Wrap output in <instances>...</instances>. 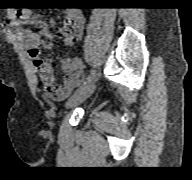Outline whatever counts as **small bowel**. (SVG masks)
Here are the masks:
<instances>
[{
	"label": "small bowel",
	"instance_id": "1",
	"mask_svg": "<svg viewBox=\"0 0 192 180\" xmlns=\"http://www.w3.org/2000/svg\"><path fill=\"white\" fill-rule=\"evenodd\" d=\"M54 20L50 24H54ZM15 25L29 24L39 26L38 30L19 29V35L24 41L28 54L32 60L35 73L39 78L45 93L52 99L61 101L65 99L84 80V63L80 58L65 59L61 63L64 78L57 83L54 77L52 64L45 58L40 50L51 49L52 34L47 25L41 23L30 9H19L14 13ZM85 17L78 9L67 12V22L60 31L63 42L67 45L80 40L84 33Z\"/></svg>",
	"mask_w": 192,
	"mask_h": 180
}]
</instances>
